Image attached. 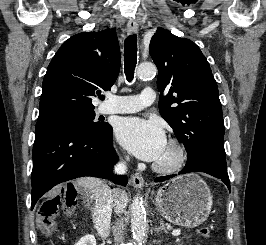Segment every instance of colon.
I'll use <instances>...</instances> for the list:
<instances>
[{
    "label": "colon",
    "mask_w": 266,
    "mask_h": 245,
    "mask_svg": "<svg viewBox=\"0 0 266 245\" xmlns=\"http://www.w3.org/2000/svg\"><path fill=\"white\" fill-rule=\"evenodd\" d=\"M64 198L57 195L54 198L46 200L38 209L37 226L46 235H50L55 227V218L58 214L61 203ZM211 228L203 226L198 230V234L203 237H209Z\"/></svg>",
    "instance_id": "5ec220e1"
}]
</instances>
